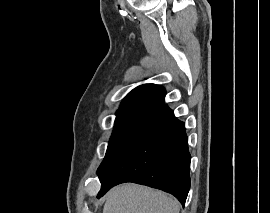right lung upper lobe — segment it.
Here are the masks:
<instances>
[{
	"instance_id": "right-lung-upper-lobe-1",
	"label": "right lung upper lobe",
	"mask_w": 270,
	"mask_h": 213,
	"mask_svg": "<svg viewBox=\"0 0 270 213\" xmlns=\"http://www.w3.org/2000/svg\"><path fill=\"white\" fill-rule=\"evenodd\" d=\"M165 95L166 91L160 85H140L128 93L122 101L120 109L139 105L157 107L164 103Z\"/></svg>"
}]
</instances>
